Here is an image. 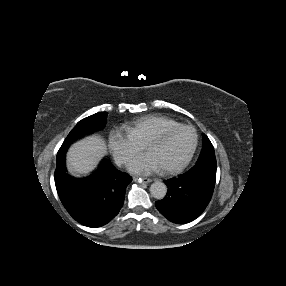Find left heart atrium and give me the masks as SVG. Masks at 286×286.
<instances>
[{"label":"left heart atrium","instance_id":"1","mask_svg":"<svg viewBox=\"0 0 286 286\" xmlns=\"http://www.w3.org/2000/svg\"><path fill=\"white\" fill-rule=\"evenodd\" d=\"M161 168L159 162L150 152L137 156L129 165L130 171L136 174H146L158 171Z\"/></svg>","mask_w":286,"mask_h":286}]
</instances>
